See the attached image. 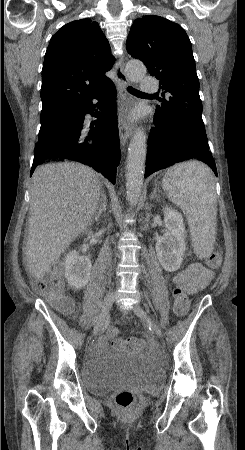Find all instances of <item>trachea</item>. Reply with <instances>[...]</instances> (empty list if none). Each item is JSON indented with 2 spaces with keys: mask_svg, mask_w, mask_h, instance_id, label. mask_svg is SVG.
<instances>
[{
  "mask_svg": "<svg viewBox=\"0 0 245 450\" xmlns=\"http://www.w3.org/2000/svg\"><path fill=\"white\" fill-rule=\"evenodd\" d=\"M127 90H128L131 94H134V95H148V94L143 93V92H141V91H139V90H137V89H135V88H133V87H128Z\"/></svg>",
  "mask_w": 245,
  "mask_h": 450,
  "instance_id": "trachea-1",
  "label": "trachea"
}]
</instances>
